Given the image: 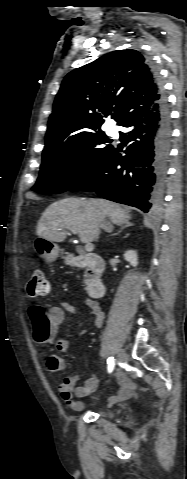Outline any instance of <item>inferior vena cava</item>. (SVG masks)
Masks as SVG:
<instances>
[{
	"label": "inferior vena cava",
	"instance_id": "602c4592",
	"mask_svg": "<svg viewBox=\"0 0 187 479\" xmlns=\"http://www.w3.org/2000/svg\"><path fill=\"white\" fill-rule=\"evenodd\" d=\"M97 223L100 228L106 229L109 226V223L106 221L105 217L99 211L97 212Z\"/></svg>",
	"mask_w": 187,
	"mask_h": 479
}]
</instances>
